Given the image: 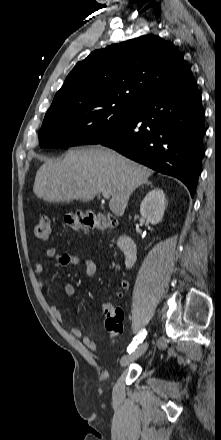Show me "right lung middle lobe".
Here are the masks:
<instances>
[{
    "mask_svg": "<svg viewBox=\"0 0 221 440\" xmlns=\"http://www.w3.org/2000/svg\"><path fill=\"white\" fill-rule=\"evenodd\" d=\"M134 107L117 103L71 105L47 111L39 131L40 147L99 144L130 117Z\"/></svg>",
    "mask_w": 221,
    "mask_h": 440,
    "instance_id": "1",
    "label": "right lung middle lobe"
}]
</instances>
